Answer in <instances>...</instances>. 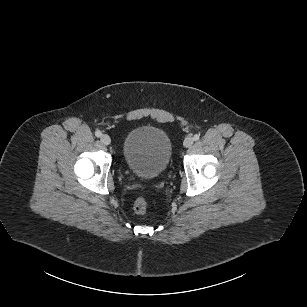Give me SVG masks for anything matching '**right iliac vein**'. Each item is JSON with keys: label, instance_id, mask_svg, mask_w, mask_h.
<instances>
[{"label": "right iliac vein", "instance_id": "right-iliac-vein-1", "mask_svg": "<svg viewBox=\"0 0 307 307\" xmlns=\"http://www.w3.org/2000/svg\"><path fill=\"white\" fill-rule=\"evenodd\" d=\"M100 140L104 145H109L111 143V139L107 134L101 135Z\"/></svg>", "mask_w": 307, "mask_h": 307}]
</instances>
